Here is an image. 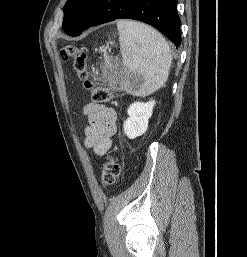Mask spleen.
<instances>
[{"label": "spleen", "mask_w": 247, "mask_h": 257, "mask_svg": "<svg viewBox=\"0 0 247 257\" xmlns=\"http://www.w3.org/2000/svg\"><path fill=\"white\" fill-rule=\"evenodd\" d=\"M123 69L131 79H142L139 92L151 94L163 87L171 66V50L165 38L137 21H117Z\"/></svg>", "instance_id": "3e777b00"}]
</instances>
